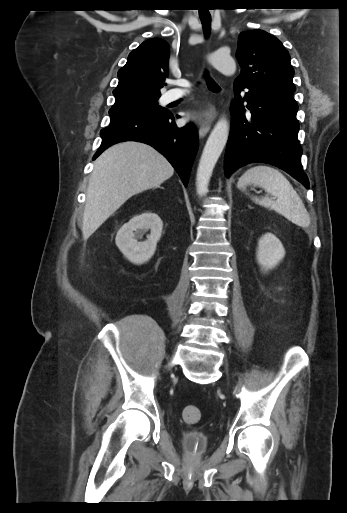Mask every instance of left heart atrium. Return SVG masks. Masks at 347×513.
<instances>
[{
  "label": "left heart atrium",
  "instance_id": "left-heart-atrium-1",
  "mask_svg": "<svg viewBox=\"0 0 347 513\" xmlns=\"http://www.w3.org/2000/svg\"><path fill=\"white\" fill-rule=\"evenodd\" d=\"M193 116H194V115H193L192 113H186V114H185V119H186V120H191V119L193 118Z\"/></svg>",
  "mask_w": 347,
  "mask_h": 513
}]
</instances>
